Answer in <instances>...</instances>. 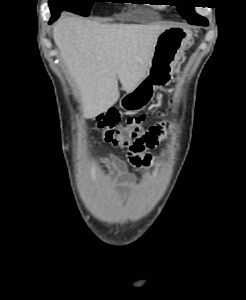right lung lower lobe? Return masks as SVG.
<instances>
[{
    "instance_id": "obj_1",
    "label": "right lung lower lobe",
    "mask_w": 246,
    "mask_h": 300,
    "mask_svg": "<svg viewBox=\"0 0 246 300\" xmlns=\"http://www.w3.org/2000/svg\"><path fill=\"white\" fill-rule=\"evenodd\" d=\"M59 17L58 16H54V17H51L50 21H49V24L53 23L57 18Z\"/></svg>"
}]
</instances>
